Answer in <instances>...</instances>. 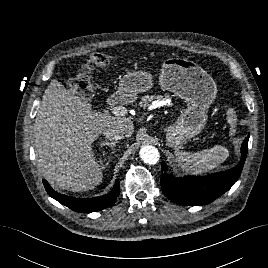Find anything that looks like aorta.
I'll use <instances>...</instances> for the list:
<instances>
[{
  "label": "aorta",
  "mask_w": 268,
  "mask_h": 268,
  "mask_svg": "<svg viewBox=\"0 0 268 268\" xmlns=\"http://www.w3.org/2000/svg\"><path fill=\"white\" fill-rule=\"evenodd\" d=\"M139 154H140L141 159L145 163L150 164V165L156 164L160 158L158 149L152 145L143 146L140 149Z\"/></svg>",
  "instance_id": "aorta-1"
}]
</instances>
